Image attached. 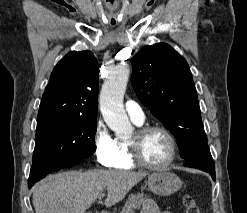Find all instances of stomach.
Here are the masks:
<instances>
[{
    "label": "stomach",
    "instance_id": "0dacf381",
    "mask_svg": "<svg viewBox=\"0 0 247 213\" xmlns=\"http://www.w3.org/2000/svg\"><path fill=\"white\" fill-rule=\"evenodd\" d=\"M182 186L180 178L169 170L155 171L148 176V187L154 194L169 196Z\"/></svg>",
    "mask_w": 247,
    "mask_h": 213
}]
</instances>
